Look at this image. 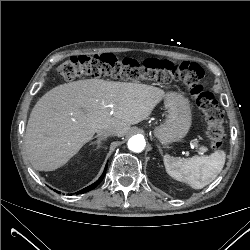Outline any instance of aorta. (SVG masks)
<instances>
[{
    "label": "aorta",
    "instance_id": "762f6f07",
    "mask_svg": "<svg viewBox=\"0 0 250 250\" xmlns=\"http://www.w3.org/2000/svg\"><path fill=\"white\" fill-rule=\"evenodd\" d=\"M145 139L141 135H135L131 137L128 141V148L136 153H139L144 150L145 148Z\"/></svg>",
    "mask_w": 250,
    "mask_h": 250
}]
</instances>
